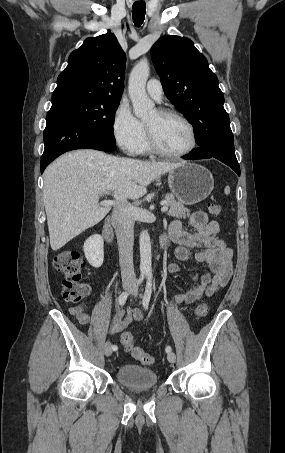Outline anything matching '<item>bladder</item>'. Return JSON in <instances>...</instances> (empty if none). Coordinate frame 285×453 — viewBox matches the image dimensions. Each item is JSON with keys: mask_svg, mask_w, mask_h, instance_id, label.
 Masks as SVG:
<instances>
[{"mask_svg": "<svg viewBox=\"0 0 285 453\" xmlns=\"http://www.w3.org/2000/svg\"><path fill=\"white\" fill-rule=\"evenodd\" d=\"M115 376L119 383L130 388H151L158 384V376L154 370L133 364L119 366Z\"/></svg>", "mask_w": 285, "mask_h": 453, "instance_id": "1", "label": "bladder"}]
</instances>
